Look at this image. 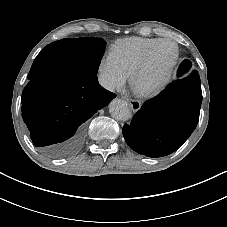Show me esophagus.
Segmentation results:
<instances>
[{"mask_svg":"<svg viewBox=\"0 0 227 227\" xmlns=\"http://www.w3.org/2000/svg\"><path fill=\"white\" fill-rule=\"evenodd\" d=\"M126 101L134 112L138 111L141 108V102L139 100L126 98Z\"/></svg>","mask_w":227,"mask_h":227,"instance_id":"obj_1","label":"esophagus"}]
</instances>
